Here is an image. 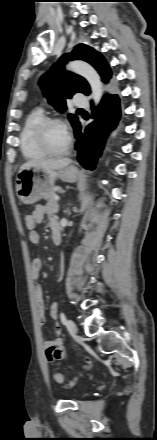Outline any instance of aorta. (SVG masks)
<instances>
[{
  "label": "aorta",
  "instance_id": "obj_1",
  "mask_svg": "<svg viewBox=\"0 0 157 440\" xmlns=\"http://www.w3.org/2000/svg\"><path fill=\"white\" fill-rule=\"evenodd\" d=\"M68 67L87 80L91 88L92 99L95 105H98L102 98V83L96 70L84 61H73Z\"/></svg>",
  "mask_w": 157,
  "mask_h": 440
}]
</instances>
